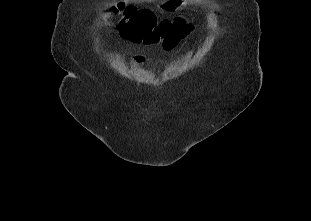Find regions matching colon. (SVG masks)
Instances as JSON below:
<instances>
[{
  "instance_id": "obj_1",
  "label": "colon",
  "mask_w": 311,
  "mask_h": 221,
  "mask_svg": "<svg viewBox=\"0 0 311 221\" xmlns=\"http://www.w3.org/2000/svg\"><path fill=\"white\" fill-rule=\"evenodd\" d=\"M114 6L126 22V25H119L122 39H134L147 46L171 49L191 30L190 25L179 17L173 20L163 19L157 23L151 10L147 8L123 5L122 1H115ZM112 14L116 16L118 13L114 11Z\"/></svg>"
}]
</instances>
